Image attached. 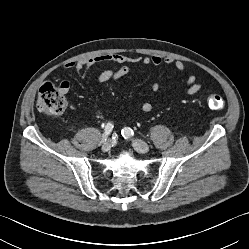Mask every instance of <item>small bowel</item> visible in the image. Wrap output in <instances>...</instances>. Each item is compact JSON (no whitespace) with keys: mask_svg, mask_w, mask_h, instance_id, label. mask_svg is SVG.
<instances>
[{"mask_svg":"<svg viewBox=\"0 0 249 249\" xmlns=\"http://www.w3.org/2000/svg\"><path fill=\"white\" fill-rule=\"evenodd\" d=\"M114 62L121 65L118 69L107 68L101 71L97 76V81L99 83L108 82L110 80L120 79L131 71V65L139 64L142 66H161V65H170L178 73H185L186 65L183 61L173 59V58H162L157 55L152 56H142L135 55L129 56L121 53L111 52L104 53L101 55L80 59L78 61H71L65 64L64 68L67 70H74L79 76L84 77L90 68L100 64H106ZM61 90L66 94L69 91L70 84L67 81H63L60 84ZM185 91L184 93L187 96H192L197 94L202 90L203 85L197 81L196 74H189L184 82ZM151 90L153 92H158L160 90L159 83L155 82L151 85ZM159 107V104L154 102H145L141 104L140 110L143 112H150L153 109Z\"/></svg>","mask_w":249,"mask_h":249,"instance_id":"c3829d8e","label":"small bowel"}]
</instances>
